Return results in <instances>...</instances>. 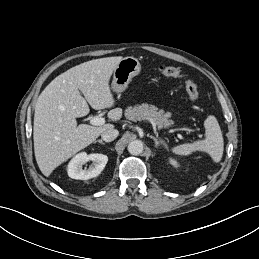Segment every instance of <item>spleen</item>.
<instances>
[{"label":"spleen","instance_id":"obj_1","mask_svg":"<svg viewBox=\"0 0 259 259\" xmlns=\"http://www.w3.org/2000/svg\"><path fill=\"white\" fill-rule=\"evenodd\" d=\"M206 139L176 146L172 152L180 156H188L195 151L208 153L214 162H219L223 155V137L220 127L213 116L206 119L205 123Z\"/></svg>","mask_w":259,"mask_h":259}]
</instances>
